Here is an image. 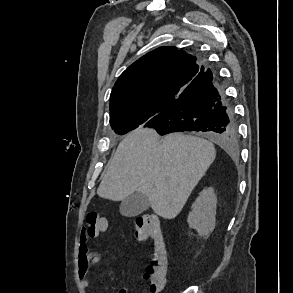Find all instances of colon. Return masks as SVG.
<instances>
[{"mask_svg": "<svg viewBox=\"0 0 293 293\" xmlns=\"http://www.w3.org/2000/svg\"><path fill=\"white\" fill-rule=\"evenodd\" d=\"M85 232L89 237H97L107 228V221L99 213L90 211L84 217ZM135 237L140 241H152L150 260L146 265L144 277L149 282L151 293L163 291L169 271L168 249L159 217L145 214L133 222Z\"/></svg>", "mask_w": 293, "mask_h": 293, "instance_id": "colon-1", "label": "colon"}]
</instances>
